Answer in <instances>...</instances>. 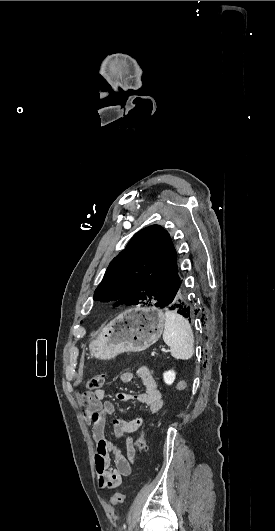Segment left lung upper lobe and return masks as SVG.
Here are the masks:
<instances>
[{"label":"left lung upper lobe","instance_id":"left-lung-upper-lobe-1","mask_svg":"<svg viewBox=\"0 0 275 531\" xmlns=\"http://www.w3.org/2000/svg\"><path fill=\"white\" fill-rule=\"evenodd\" d=\"M176 250L159 225L137 232L108 266L94 300L165 307L180 286Z\"/></svg>","mask_w":275,"mask_h":531}]
</instances>
